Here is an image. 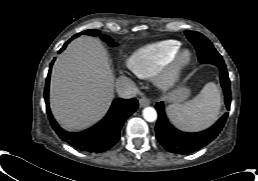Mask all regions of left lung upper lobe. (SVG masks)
Returning a JSON list of instances; mask_svg holds the SVG:
<instances>
[{"instance_id":"1","label":"left lung upper lobe","mask_w":258,"mask_h":181,"mask_svg":"<svg viewBox=\"0 0 258 181\" xmlns=\"http://www.w3.org/2000/svg\"><path fill=\"white\" fill-rule=\"evenodd\" d=\"M185 34L196 48L198 60L201 63L224 65L221 55L214 48L210 40H208L203 34L196 31H186Z\"/></svg>"}]
</instances>
